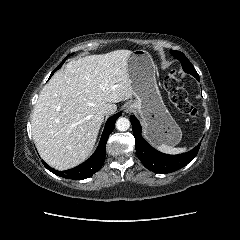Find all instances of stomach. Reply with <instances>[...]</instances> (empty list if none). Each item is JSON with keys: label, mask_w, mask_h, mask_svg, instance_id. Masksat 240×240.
Returning a JSON list of instances; mask_svg holds the SVG:
<instances>
[{"label": "stomach", "mask_w": 240, "mask_h": 240, "mask_svg": "<svg viewBox=\"0 0 240 240\" xmlns=\"http://www.w3.org/2000/svg\"><path fill=\"white\" fill-rule=\"evenodd\" d=\"M127 70L136 98L132 106L142 118L144 136L156 145H177L182 131L163 103L150 54L142 49L133 51L127 60Z\"/></svg>", "instance_id": "0dacf381"}]
</instances>
